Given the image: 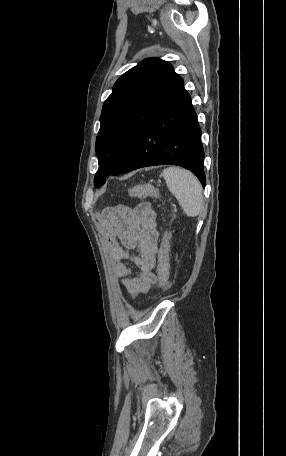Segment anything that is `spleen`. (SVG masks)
Listing matches in <instances>:
<instances>
[{"label":"spleen","instance_id":"1","mask_svg":"<svg viewBox=\"0 0 286 456\" xmlns=\"http://www.w3.org/2000/svg\"><path fill=\"white\" fill-rule=\"evenodd\" d=\"M169 191L176 197L184 213L190 217L200 214L204 198L197 177L188 170L169 167L162 171Z\"/></svg>","mask_w":286,"mask_h":456}]
</instances>
